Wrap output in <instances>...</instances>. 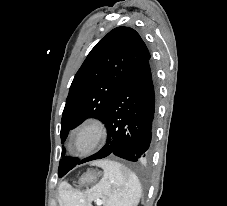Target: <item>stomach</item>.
Wrapping results in <instances>:
<instances>
[{
  "label": "stomach",
  "mask_w": 227,
  "mask_h": 206,
  "mask_svg": "<svg viewBox=\"0 0 227 206\" xmlns=\"http://www.w3.org/2000/svg\"><path fill=\"white\" fill-rule=\"evenodd\" d=\"M99 173L95 171H88L84 173L79 179L80 186H89L97 182V177Z\"/></svg>",
  "instance_id": "stomach-1"
}]
</instances>
